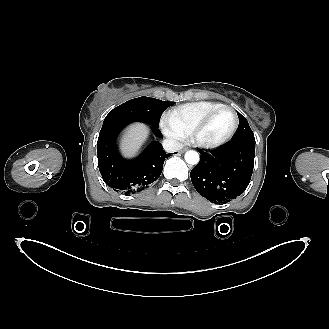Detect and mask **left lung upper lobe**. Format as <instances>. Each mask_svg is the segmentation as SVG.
I'll list each match as a JSON object with an SVG mask.
<instances>
[{"mask_svg": "<svg viewBox=\"0 0 329 329\" xmlns=\"http://www.w3.org/2000/svg\"><path fill=\"white\" fill-rule=\"evenodd\" d=\"M239 117V126L237 132L232 141H239V140H250L255 141L254 134L246 120V118L237 112Z\"/></svg>", "mask_w": 329, "mask_h": 329, "instance_id": "obj_1", "label": "left lung upper lobe"}]
</instances>
